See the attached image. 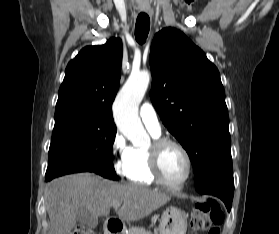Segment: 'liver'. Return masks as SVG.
<instances>
[{
  "instance_id": "6515ba94",
  "label": "liver",
  "mask_w": 279,
  "mask_h": 234,
  "mask_svg": "<svg viewBox=\"0 0 279 234\" xmlns=\"http://www.w3.org/2000/svg\"><path fill=\"white\" fill-rule=\"evenodd\" d=\"M170 199L169 195L155 189L123 185L91 173L63 176L51 181L47 188L48 234H70L80 209H87L96 217L108 216L113 203H120L117 215L130 222L150 215Z\"/></svg>"
}]
</instances>
